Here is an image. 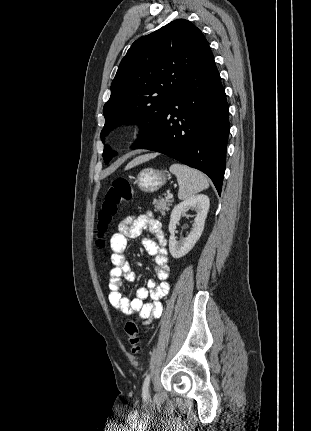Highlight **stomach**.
<instances>
[{
    "instance_id": "obj_1",
    "label": "stomach",
    "mask_w": 311,
    "mask_h": 431,
    "mask_svg": "<svg viewBox=\"0 0 311 431\" xmlns=\"http://www.w3.org/2000/svg\"><path fill=\"white\" fill-rule=\"evenodd\" d=\"M169 178L168 172L164 170H154V168H143L140 170L135 184H137L141 192H146V194H153V192H158L164 184H166Z\"/></svg>"
}]
</instances>
